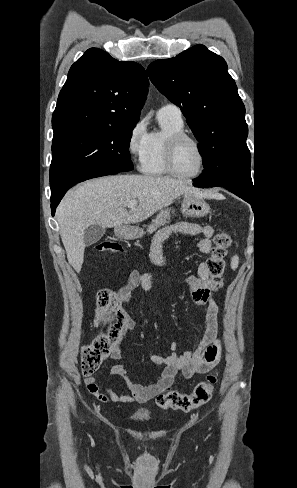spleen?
I'll return each instance as SVG.
<instances>
[{
    "mask_svg": "<svg viewBox=\"0 0 297 488\" xmlns=\"http://www.w3.org/2000/svg\"><path fill=\"white\" fill-rule=\"evenodd\" d=\"M238 264H239V257L236 255V256H233L232 260H231V267L232 269H236L238 267Z\"/></svg>",
    "mask_w": 297,
    "mask_h": 488,
    "instance_id": "spleen-1",
    "label": "spleen"
}]
</instances>
